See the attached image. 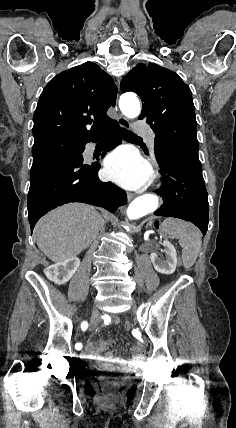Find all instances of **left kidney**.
<instances>
[{
    "mask_svg": "<svg viewBox=\"0 0 236 428\" xmlns=\"http://www.w3.org/2000/svg\"><path fill=\"white\" fill-rule=\"evenodd\" d=\"M162 246H164V250H161V252L166 254L165 260L159 258L158 254H151V262L156 272H160V274H173L177 266L176 250L173 244H171V242H167V240H164Z\"/></svg>",
    "mask_w": 236,
    "mask_h": 428,
    "instance_id": "left-kidney-1",
    "label": "left kidney"
}]
</instances>
